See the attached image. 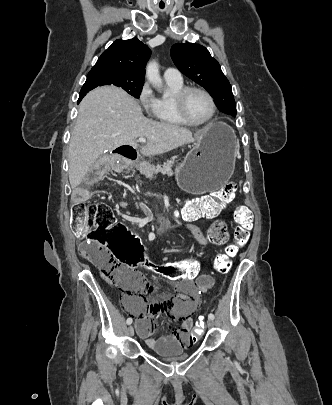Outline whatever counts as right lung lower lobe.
Segmentation results:
<instances>
[{
  "label": "right lung lower lobe",
  "mask_w": 332,
  "mask_h": 405,
  "mask_svg": "<svg viewBox=\"0 0 332 405\" xmlns=\"http://www.w3.org/2000/svg\"><path fill=\"white\" fill-rule=\"evenodd\" d=\"M86 93H87V91H82V92H80L78 103H79V102L81 101V99L86 95Z\"/></svg>",
  "instance_id": "1"
}]
</instances>
